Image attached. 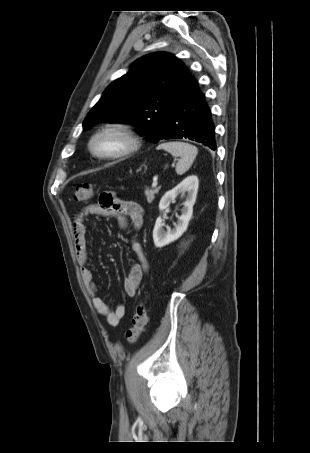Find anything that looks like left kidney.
<instances>
[{
    "label": "left kidney",
    "mask_w": 310,
    "mask_h": 453,
    "mask_svg": "<svg viewBox=\"0 0 310 453\" xmlns=\"http://www.w3.org/2000/svg\"><path fill=\"white\" fill-rule=\"evenodd\" d=\"M198 185L199 181L197 176H188L172 190L166 192L161 198L159 210L160 212H163L169 208L171 203L175 202V199L179 194L187 193L186 200L183 203L184 206L181 209V216L178 217V221L172 230L167 228L165 231L163 219L161 217L157 218L153 229V241L156 247L161 248L171 242H174L187 230L189 221L193 214V205L196 201Z\"/></svg>",
    "instance_id": "1"
}]
</instances>
